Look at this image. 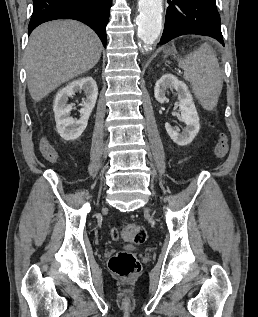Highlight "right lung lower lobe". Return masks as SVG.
I'll list each match as a JSON object with an SVG mask.
<instances>
[{
	"mask_svg": "<svg viewBox=\"0 0 258 317\" xmlns=\"http://www.w3.org/2000/svg\"><path fill=\"white\" fill-rule=\"evenodd\" d=\"M33 14L28 26L30 34L38 25L56 19H74L91 27L107 43L106 25L112 0H33Z\"/></svg>",
	"mask_w": 258,
	"mask_h": 317,
	"instance_id": "right-lung-lower-lobe-1",
	"label": "right lung lower lobe"
}]
</instances>
